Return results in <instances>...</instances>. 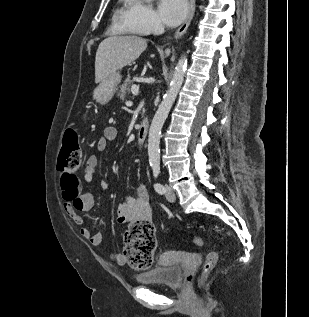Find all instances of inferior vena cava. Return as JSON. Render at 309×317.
Listing matches in <instances>:
<instances>
[{
	"instance_id": "inferior-vena-cava-1",
	"label": "inferior vena cava",
	"mask_w": 309,
	"mask_h": 317,
	"mask_svg": "<svg viewBox=\"0 0 309 317\" xmlns=\"http://www.w3.org/2000/svg\"><path fill=\"white\" fill-rule=\"evenodd\" d=\"M164 32V27L161 23H157L155 27V34H161Z\"/></svg>"
}]
</instances>
